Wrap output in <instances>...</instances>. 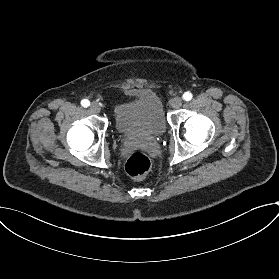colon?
Listing matches in <instances>:
<instances>
[{"label":"colon","mask_w":279,"mask_h":279,"mask_svg":"<svg viewBox=\"0 0 279 279\" xmlns=\"http://www.w3.org/2000/svg\"><path fill=\"white\" fill-rule=\"evenodd\" d=\"M150 167L149 157L141 152H135L127 159L125 170L132 177H141L149 171Z\"/></svg>","instance_id":"colon-1"}]
</instances>
